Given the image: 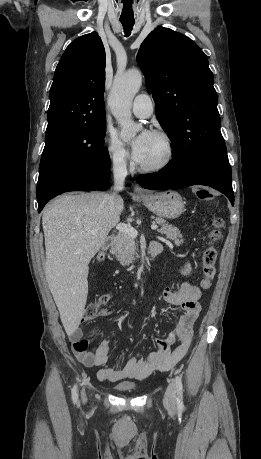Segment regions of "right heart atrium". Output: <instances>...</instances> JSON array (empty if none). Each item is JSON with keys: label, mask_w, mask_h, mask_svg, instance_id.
Segmentation results:
<instances>
[{"label": "right heart atrium", "mask_w": 261, "mask_h": 459, "mask_svg": "<svg viewBox=\"0 0 261 459\" xmlns=\"http://www.w3.org/2000/svg\"><path fill=\"white\" fill-rule=\"evenodd\" d=\"M103 141L109 160L114 170L118 172L126 171L130 164V158L121 140L114 132L107 129L105 131Z\"/></svg>", "instance_id": "d8ad5b80"}]
</instances>
